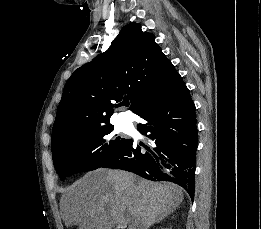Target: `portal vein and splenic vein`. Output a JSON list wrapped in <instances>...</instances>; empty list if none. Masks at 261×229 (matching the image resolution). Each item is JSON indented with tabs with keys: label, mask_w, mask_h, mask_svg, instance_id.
<instances>
[{
	"label": "portal vein and splenic vein",
	"mask_w": 261,
	"mask_h": 229,
	"mask_svg": "<svg viewBox=\"0 0 261 229\" xmlns=\"http://www.w3.org/2000/svg\"><path fill=\"white\" fill-rule=\"evenodd\" d=\"M124 223L125 221H123V219H119L118 227H116V229H122Z\"/></svg>",
	"instance_id": "18ae733b"
}]
</instances>
